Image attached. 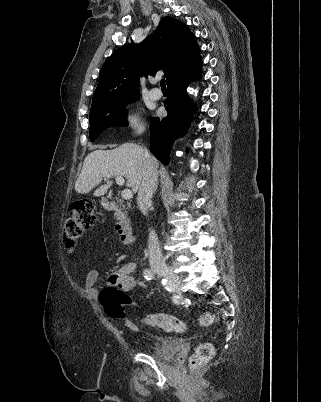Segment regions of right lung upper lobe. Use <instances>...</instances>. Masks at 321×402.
<instances>
[{
  "mask_svg": "<svg viewBox=\"0 0 321 402\" xmlns=\"http://www.w3.org/2000/svg\"><path fill=\"white\" fill-rule=\"evenodd\" d=\"M202 65L196 38L188 27L164 17L154 34L140 44L128 43L115 51L101 69L92 107L139 94V77L163 69L168 83Z\"/></svg>",
  "mask_w": 321,
  "mask_h": 402,
  "instance_id": "right-lung-upper-lobe-1",
  "label": "right lung upper lobe"
}]
</instances>
